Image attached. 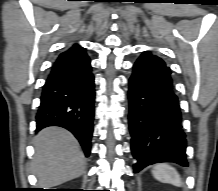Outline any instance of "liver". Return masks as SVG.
<instances>
[{"instance_id":"1","label":"liver","mask_w":218,"mask_h":191,"mask_svg":"<svg viewBox=\"0 0 218 191\" xmlns=\"http://www.w3.org/2000/svg\"><path fill=\"white\" fill-rule=\"evenodd\" d=\"M33 172L41 187H54L79 177L86 160L75 137L65 129L49 127L34 139Z\"/></svg>"}]
</instances>
